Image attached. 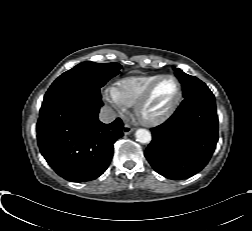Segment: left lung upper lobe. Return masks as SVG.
Returning <instances> with one entry per match:
<instances>
[{
    "instance_id": "1",
    "label": "left lung upper lobe",
    "mask_w": 252,
    "mask_h": 231,
    "mask_svg": "<svg viewBox=\"0 0 252 231\" xmlns=\"http://www.w3.org/2000/svg\"><path fill=\"white\" fill-rule=\"evenodd\" d=\"M176 75L184 87V97H189L196 94L212 93L206 84L198 78L190 76L180 69H176Z\"/></svg>"
}]
</instances>
